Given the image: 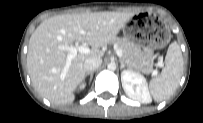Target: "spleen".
<instances>
[{
  "mask_svg": "<svg viewBox=\"0 0 203 123\" xmlns=\"http://www.w3.org/2000/svg\"><path fill=\"white\" fill-rule=\"evenodd\" d=\"M183 57L176 42L170 44L162 72L149 83V90L156 102L168 99L178 88L183 74Z\"/></svg>",
  "mask_w": 203,
  "mask_h": 123,
  "instance_id": "1",
  "label": "spleen"
}]
</instances>
